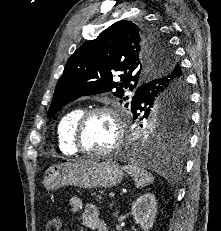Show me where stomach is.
Wrapping results in <instances>:
<instances>
[{
	"instance_id": "1",
	"label": "stomach",
	"mask_w": 221,
	"mask_h": 231,
	"mask_svg": "<svg viewBox=\"0 0 221 231\" xmlns=\"http://www.w3.org/2000/svg\"><path fill=\"white\" fill-rule=\"evenodd\" d=\"M124 173L112 160L81 161L56 164L49 167L42 183L47 190L73 185L80 188H111L123 180Z\"/></svg>"
}]
</instances>
